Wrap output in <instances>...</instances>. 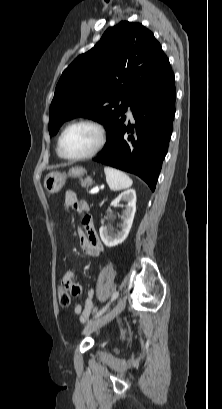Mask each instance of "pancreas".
Here are the masks:
<instances>
[{
    "label": "pancreas",
    "mask_w": 222,
    "mask_h": 409,
    "mask_svg": "<svg viewBox=\"0 0 222 409\" xmlns=\"http://www.w3.org/2000/svg\"><path fill=\"white\" fill-rule=\"evenodd\" d=\"M81 185L84 187H88V186H92L93 185V180L88 178V179H84L81 181Z\"/></svg>",
    "instance_id": "cf45deb5"
}]
</instances>
